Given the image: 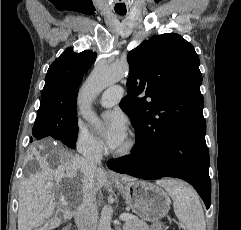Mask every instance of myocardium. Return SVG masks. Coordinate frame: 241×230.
<instances>
[{"label":"myocardium","mask_w":241,"mask_h":230,"mask_svg":"<svg viewBox=\"0 0 241 230\" xmlns=\"http://www.w3.org/2000/svg\"><path fill=\"white\" fill-rule=\"evenodd\" d=\"M136 148V140L134 138H128L122 147L115 150L114 154L119 157H126L131 155Z\"/></svg>","instance_id":"myocardium-1"}]
</instances>
